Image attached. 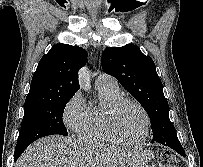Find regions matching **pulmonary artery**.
Returning <instances> with one entry per match:
<instances>
[{
	"instance_id": "pulmonary-artery-1",
	"label": "pulmonary artery",
	"mask_w": 203,
	"mask_h": 167,
	"mask_svg": "<svg viewBox=\"0 0 203 167\" xmlns=\"http://www.w3.org/2000/svg\"><path fill=\"white\" fill-rule=\"evenodd\" d=\"M96 87L115 85L117 84L116 79L106 73H99L95 80Z\"/></svg>"
}]
</instances>
